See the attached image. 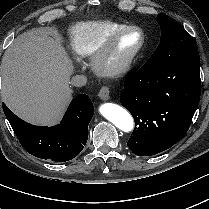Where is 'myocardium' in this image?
<instances>
[{
    "instance_id": "obj_1",
    "label": "myocardium",
    "mask_w": 209,
    "mask_h": 209,
    "mask_svg": "<svg viewBox=\"0 0 209 209\" xmlns=\"http://www.w3.org/2000/svg\"><path fill=\"white\" fill-rule=\"evenodd\" d=\"M138 32L141 35V41L135 50L120 61L111 60L112 53L118 40L125 34ZM146 43L144 30L138 26H125L114 30L103 42L99 50L95 53L92 66L95 73L102 77L113 78L126 74L133 66Z\"/></svg>"
}]
</instances>
